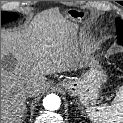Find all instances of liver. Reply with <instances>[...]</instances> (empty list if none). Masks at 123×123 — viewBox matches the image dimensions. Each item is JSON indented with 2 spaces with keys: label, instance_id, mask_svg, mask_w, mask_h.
I'll return each mask as SVG.
<instances>
[{
  "label": "liver",
  "instance_id": "obj_1",
  "mask_svg": "<svg viewBox=\"0 0 123 123\" xmlns=\"http://www.w3.org/2000/svg\"><path fill=\"white\" fill-rule=\"evenodd\" d=\"M73 31V24L57 10L38 15L23 29L1 30V123L23 121L26 85L33 84L37 96L46 75L82 66Z\"/></svg>",
  "mask_w": 123,
  "mask_h": 123
}]
</instances>
